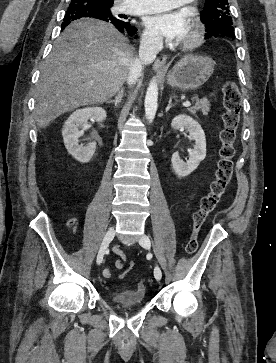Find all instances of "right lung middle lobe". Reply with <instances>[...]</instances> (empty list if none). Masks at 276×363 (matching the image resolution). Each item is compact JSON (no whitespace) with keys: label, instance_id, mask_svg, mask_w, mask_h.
<instances>
[{"label":"right lung middle lobe","instance_id":"dd1d6c3e","mask_svg":"<svg viewBox=\"0 0 276 363\" xmlns=\"http://www.w3.org/2000/svg\"><path fill=\"white\" fill-rule=\"evenodd\" d=\"M113 4L97 0H72L67 11L75 9H87L97 13L102 19H114L111 9Z\"/></svg>","mask_w":276,"mask_h":363}]
</instances>
